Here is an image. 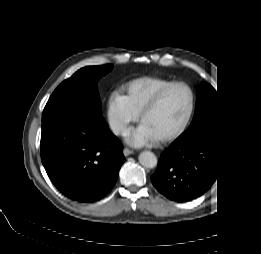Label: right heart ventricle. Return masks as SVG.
<instances>
[{"mask_svg":"<svg viewBox=\"0 0 261 254\" xmlns=\"http://www.w3.org/2000/svg\"><path fill=\"white\" fill-rule=\"evenodd\" d=\"M170 82L145 77L132 82L127 89V97L133 109L139 114L142 109Z\"/></svg>","mask_w":261,"mask_h":254,"instance_id":"e07e8e85","label":"right heart ventricle"}]
</instances>
